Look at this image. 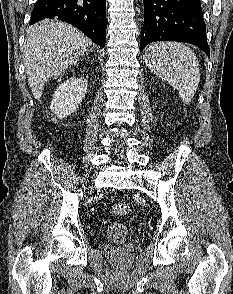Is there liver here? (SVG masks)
I'll list each match as a JSON object with an SVG mask.
<instances>
[{
  "label": "liver",
  "instance_id": "liver-1",
  "mask_svg": "<svg viewBox=\"0 0 233 294\" xmlns=\"http://www.w3.org/2000/svg\"><path fill=\"white\" fill-rule=\"evenodd\" d=\"M89 40L75 27L46 19L26 37L24 65L28 84L39 100L49 79L65 72L87 50Z\"/></svg>",
  "mask_w": 233,
  "mask_h": 294
}]
</instances>
